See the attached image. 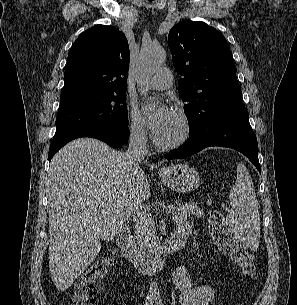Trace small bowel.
Segmentation results:
<instances>
[{"label":"small bowel","mask_w":297,"mask_h":305,"mask_svg":"<svg viewBox=\"0 0 297 305\" xmlns=\"http://www.w3.org/2000/svg\"><path fill=\"white\" fill-rule=\"evenodd\" d=\"M192 225L186 223L179 229L189 228ZM172 284L179 293L181 305H210L216 298L217 287L211 284H196L186 267H178L172 273Z\"/></svg>","instance_id":"small-bowel-1"}]
</instances>
